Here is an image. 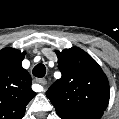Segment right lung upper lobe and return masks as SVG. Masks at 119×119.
Returning <instances> with one entry per match:
<instances>
[{
	"instance_id": "cb5924a9",
	"label": "right lung upper lobe",
	"mask_w": 119,
	"mask_h": 119,
	"mask_svg": "<svg viewBox=\"0 0 119 119\" xmlns=\"http://www.w3.org/2000/svg\"><path fill=\"white\" fill-rule=\"evenodd\" d=\"M24 56L25 52L14 48L0 50V119H22L36 95L31 76L21 65Z\"/></svg>"
}]
</instances>
